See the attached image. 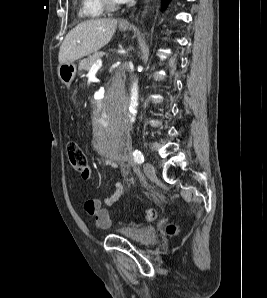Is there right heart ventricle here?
I'll use <instances>...</instances> for the list:
<instances>
[{
    "instance_id": "1",
    "label": "right heart ventricle",
    "mask_w": 267,
    "mask_h": 298,
    "mask_svg": "<svg viewBox=\"0 0 267 298\" xmlns=\"http://www.w3.org/2000/svg\"><path fill=\"white\" fill-rule=\"evenodd\" d=\"M101 0H79L78 14L82 18L97 19L104 15Z\"/></svg>"
}]
</instances>
